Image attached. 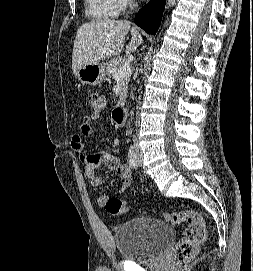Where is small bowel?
<instances>
[{"mask_svg":"<svg viewBox=\"0 0 253 271\" xmlns=\"http://www.w3.org/2000/svg\"><path fill=\"white\" fill-rule=\"evenodd\" d=\"M100 117L99 113H91L82 119V123L78 131H73L70 134V148L79 160L85 166V173L90 180L95 191L99 192L102 185V179L97 174V170L101 167L115 170L120 177V183L117 188L118 194H123L127 191L131 184V170L129 166L122 164L119 158L109 152H98L85 154L83 151L82 137H90L93 135V123ZM109 199L106 194L98 193L97 203L103 206L104 202Z\"/></svg>","mask_w":253,"mask_h":271,"instance_id":"obj_1","label":"small bowel"}]
</instances>
